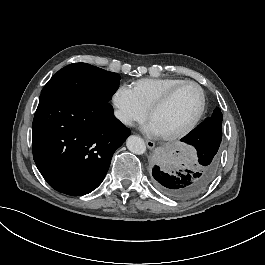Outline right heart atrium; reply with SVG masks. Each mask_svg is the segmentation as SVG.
<instances>
[{"mask_svg":"<svg viewBox=\"0 0 265 265\" xmlns=\"http://www.w3.org/2000/svg\"><path fill=\"white\" fill-rule=\"evenodd\" d=\"M113 110L119 122L129 129H136L146 122L147 112L141 109L126 85H119L111 92Z\"/></svg>","mask_w":265,"mask_h":265,"instance_id":"right-heart-atrium-1","label":"right heart atrium"}]
</instances>
